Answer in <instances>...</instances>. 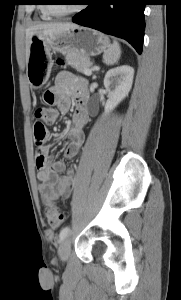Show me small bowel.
<instances>
[{
    "mask_svg": "<svg viewBox=\"0 0 181 300\" xmlns=\"http://www.w3.org/2000/svg\"><path fill=\"white\" fill-rule=\"evenodd\" d=\"M55 97L54 105H57L62 114L68 112L71 106V98L74 99L76 109L68 130V144L64 152L67 159L75 158L85 141L83 128L89 121L88 93L86 81L69 72H60L47 91ZM45 103L47 101L44 99ZM42 156L43 163L37 164L39 171L37 178L41 182L39 186L40 195L45 203L57 200L61 197H68L74 182L75 167L66 168L61 160L53 159L49 146L41 147L36 158Z\"/></svg>",
    "mask_w": 181,
    "mask_h": 300,
    "instance_id": "small-bowel-1",
    "label": "small bowel"
}]
</instances>
